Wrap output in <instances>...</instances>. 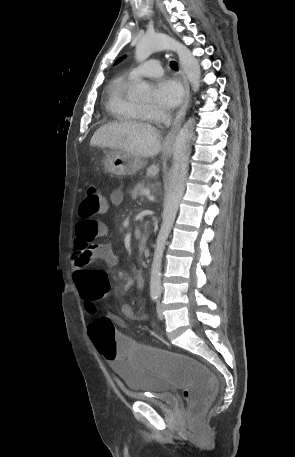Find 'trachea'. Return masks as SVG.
<instances>
[{"instance_id":"3493384b","label":"trachea","mask_w":295,"mask_h":457,"mask_svg":"<svg viewBox=\"0 0 295 457\" xmlns=\"http://www.w3.org/2000/svg\"><path fill=\"white\" fill-rule=\"evenodd\" d=\"M170 67L174 70H176L178 68V64L176 61H171L170 62Z\"/></svg>"}]
</instances>
